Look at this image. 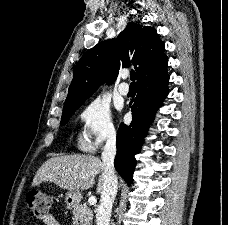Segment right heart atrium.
I'll return each mask as SVG.
<instances>
[{
    "label": "right heart atrium",
    "mask_w": 228,
    "mask_h": 225,
    "mask_svg": "<svg viewBox=\"0 0 228 225\" xmlns=\"http://www.w3.org/2000/svg\"><path fill=\"white\" fill-rule=\"evenodd\" d=\"M78 117L82 124V141L89 147L95 149L115 140L116 129L111 112L99 100L91 101L83 106Z\"/></svg>",
    "instance_id": "1"
}]
</instances>
